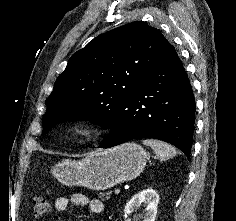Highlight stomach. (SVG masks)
<instances>
[{
  "label": "stomach",
  "mask_w": 236,
  "mask_h": 221,
  "mask_svg": "<svg viewBox=\"0 0 236 221\" xmlns=\"http://www.w3.org/2000/svg\"><path fill=\"white\" fill-rule=\"evenodd\" d=\"M147 159L146 151L130 142L91 153L82 160L65 159L53 166L52 173L67 186L105 190L138 177Z\"/></svg>",
  "instance_id": "0dacf381"
}]
</instances>
